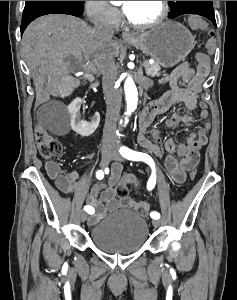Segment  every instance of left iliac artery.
<instances>
[{
  "label": "left iliac artery",
  "instance_id": "1",
  "mask_svg": "<svg viewBox=\"0 0 237 300\" xmlns=\"http://www.w3.org/2000/svg\"><path fill=\"white\" fill-rule=\"evenodd\" d=\"M119 152L121 153V155L124 158H126L128 160L143 161V162L147 163L152 168V174H151V176H150V178L147 182V189L152 190L155 187V184H156V170H155V164H154L153 159L145 153L133 151V150H131L128 147H125V146L121 147ZM150 216L153 219H159L160 218V214L158 212H151Z\"/></svg>",
  "mask_w": 237,
  "mask_h": 300
}]
</instances>
